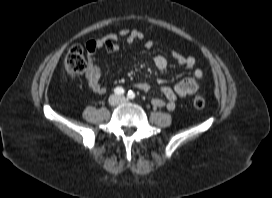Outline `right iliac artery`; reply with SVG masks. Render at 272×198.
<instances>
[{"label":"right iliac artery","mask_w":272,"mask_h":198,"mask_svg":"<svg viewBox=\"0 0 272 198\" xmlns=\"http://www.w3.org/2000/svg\"><path fill=\"white\" fill-rule=\"evenodd\" d=\"M114 92L117 95H123L125 91H124V89L122 87H116Z\"/></svg>","instance_id":"1"}]
</instances>
